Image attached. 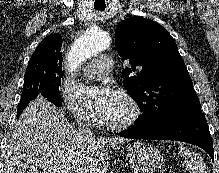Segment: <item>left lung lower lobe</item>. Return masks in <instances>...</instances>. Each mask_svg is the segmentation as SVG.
<instances>
[{"label":"left lung lower lobe","instance_id":"0a47b994","mask_svg":"<svg viewBox=\"0 0 219 173\" xmlns=\"http://www.w3.org/2000/svg\"><path fill=\"white\" fill-rule=\"evenodd\" d=\"M120 136L134 139L175 140L203 148L214 160L209 127L200 107L180 111L155 126L134 125Z\"/></svg>","mask_w":219,"mask_h":173}]
</instances>
